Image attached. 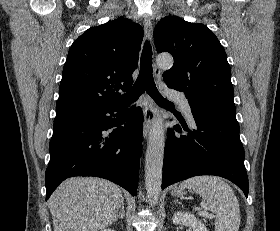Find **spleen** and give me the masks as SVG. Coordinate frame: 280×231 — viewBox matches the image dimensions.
Returning <instances> with one entry per match:
<instances>
[{"label": "spleen", "instance_id": "spleen-1", "mask_svg": "<svg viewBox=\"0 0 280 231\" xmlns=\"http://www.w3.org/2000/svg\"><path fill=\"white\" fill-rule=\"evenodd\" d=\"M200 193L206 199L209 209L216 213L215 231H238L240 225V207L238 199L230 185L217 175H196L180 183Z\"/></svg>", "mask_w": 280, "mask_h": 231}]
</instances>
